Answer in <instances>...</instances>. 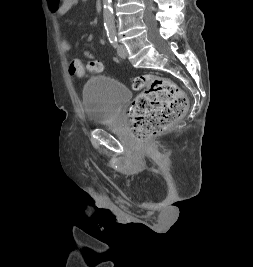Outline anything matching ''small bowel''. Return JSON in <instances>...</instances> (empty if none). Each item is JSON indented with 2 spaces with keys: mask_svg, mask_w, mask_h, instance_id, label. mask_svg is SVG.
Here are the masks:
<instances>
[{
  "mask_svg": "<svg viewBox=\"0 0 253 267\" xmlns=\"http://www.w3.org/2000/svg\"><path fill=\"white\" fill-rule=\"evenodd\" d=\"M79 3V0H47L49 9L58 17L63 18L73 7ZM61 49L64 52L71 50L70 42L61 34Z\"/></svg>",
  "mask_w": 253,
  "mask_h": 267,
  "instance_id": "obj_1",
  "label": "small bowel"
}]
</instances>
